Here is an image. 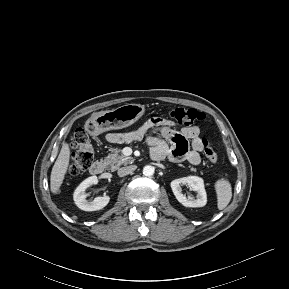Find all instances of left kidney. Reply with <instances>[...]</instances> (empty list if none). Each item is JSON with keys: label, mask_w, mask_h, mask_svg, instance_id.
Listing matches in <instances>:
<instances>
[{"label": "left kidney", "mask_w": 289, "mask_h": 289, "mask_svg": "<svg viewBox=\"0 0 289 289\" xmlns=\"http://www.w3.org/2000/svg\"><path fill=\"white\" fill-rule=\"evenodd\" d=\"M182 185H188L191 190L197 193L196 197H186L182 193ZM171 189L176 199L185 207H203L207 203V195L204 188V181L197 176H188L175 179L171 182Z\"/></svg>", "instance_id": "left-kidney-1"}]
</instances>
